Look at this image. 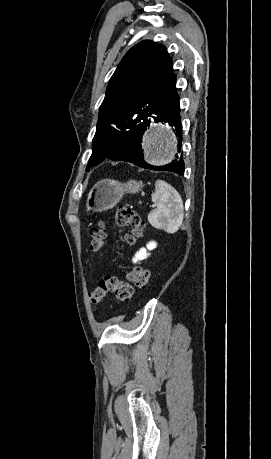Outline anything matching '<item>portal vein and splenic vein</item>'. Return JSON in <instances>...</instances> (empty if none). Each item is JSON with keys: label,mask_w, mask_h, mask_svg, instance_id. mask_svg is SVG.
Masks as SVG:
<instances>
[{"label": "portal vein and splenic vein", "mask_w": 271, "mask_h": 459, "mask_svg": "<svg viewBox=\"0 0 271 459\" xmlns=\"http://www.w3.org/2000/svg\"><path fill=\"white\" fill-rule=\"evenodd\" d=\"M152 206H153L152 208L154 209V208H155V207H154L155 205L153 204Z\"/></svg>", "instance_id": "1"}]
</instances>
